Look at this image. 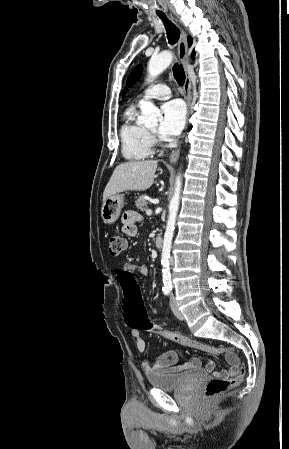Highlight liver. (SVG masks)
I'll return each instance as SVG.
<instances>
[{
  "instance_id": "liver-1",
  "label": "liver",
  "mask_w": 289,
  "mask_h": 449,
  "mask_svg": "<svg viewBox=\"0 0 289 449\" xmlns=\"http://www.w3.org/2000/svg\"><path fill=\"white\" fill-rule=\"evenodd\" d=\"M156 160L129 161L118 165L103 193V202L124 191H144L154 182Z\"/></svg>"
}]
</instances>
